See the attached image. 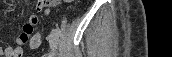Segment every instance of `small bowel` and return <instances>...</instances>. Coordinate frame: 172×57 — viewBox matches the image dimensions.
<instances>
[{
	"instance_id": "small-bowel-1",
	"label": "small bowel",
	"mask_w": 172,
	"mask_h": 57,
	"mask_svg": "<svg viewBox=\"0 0 172 57\" xmlns=\"http://www.w3.org/2000/svg\"><path fill=\"white\" fill-rule=\"evenodd\" d=\"M60 3L57 0H38L35 4V10H44L45 14L50 12L51 7H55ZM38 23V18L31 15L26 24L22 27V32L16 37L17 45L15 47L0 46V56L4 57H20L23 53V46L29 45L31 49L38 48L42 43V36L39 33H34V27Z\"/></svg>"
}]
</instances>
